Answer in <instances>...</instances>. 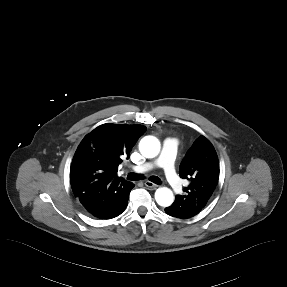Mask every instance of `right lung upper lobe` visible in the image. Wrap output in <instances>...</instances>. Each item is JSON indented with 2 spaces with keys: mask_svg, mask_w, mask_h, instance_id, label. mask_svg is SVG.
I'll return each instance as SVG.
<instances>
[{
  "mask_svg": "<svg viewBox=\"0 0 287 287\" xmlns=\"http://www.w3.org/2000/svg\"><path fill=\"white\" fill-rule=\"evenodd\" d=\"M146 131L142 125L103 124L92 130L79 144L70 169L71 187L75 197L84 195L94 181L113 180L123 158H129L130 151L138 138ZM97 170L96 179L89 178L86 170Z\"/></svg>",
  "mask_w": 287,
  "mask_h": 287,
  "instance_id": "1",
  "label": "right lung upper lobe"
}]
</instances>
